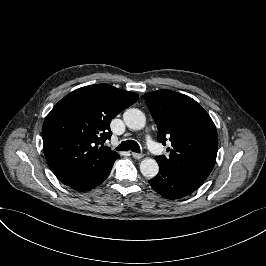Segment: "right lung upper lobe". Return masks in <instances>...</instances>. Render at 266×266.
I'll list each match as a JSON object with an SVG mask.
<instances>
[{
    "label": "right lung upper lobe",
    "instance_id": "obj_1",
    "mask_svg": "<svg viewBox=\"0 0 266 266\" xmlns=\"http://www.w3.org/2000/svg\"><path fill=\"white\" fill-rule=\"evenodd\" d=\"M137 99L136 93L95 84L76 89L54 106L43 123V147L50 169L63 184L119 158L102 142L112 135L111 119ZM100 143L103 147L97 146Z\"/></svg>",
    "mask_w": 266,
    "mask_h": 266
}]
</instances>
